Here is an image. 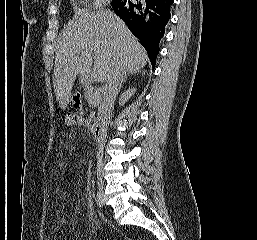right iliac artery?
Listing matches in <instances>:
<instances>
[{"label":"right iliac artery","instance_id":"obj_1","mask_svg":"<svg viewBox=\"0 0 257 240\" xmlns=\"http://www.w3.org/2000/svg\"><path fill=\"white\" fill-rule=\"evenodd\" d=\"M95 201H96L98 207L101 208L103 206V199H102V195L100 192H97Z\"/></svg>","mask_w":257,"mask_h":240}]
</instances>
